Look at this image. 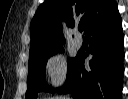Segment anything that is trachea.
Masks as SVG:
<instances>
[{"label": "trachea", "mask_w": 128, "mask_h": 99, "mask_svg": "<svg viewBox=\"0 0 128 99\" xmlns=\"http://www.w3.org/2000/svg\"><path fill=\"white\" fill-rule=\"evenodd\" d=\"M78 30H79L80 32H82V31H83V25H79V26H78Z\"/></svg>", "instance_id": "trachea-1"}]
</instances>
